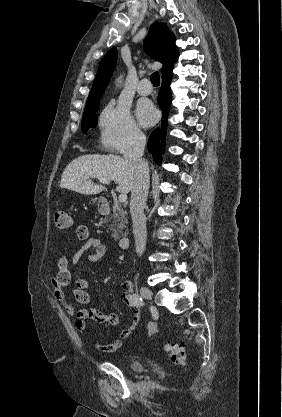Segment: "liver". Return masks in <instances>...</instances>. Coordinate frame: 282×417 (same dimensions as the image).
Listing matches in <instances>:
<instances>
[{"label":"liver","instance_id":"1","mask_svg":"<svg viewBox=\"0 0 282 417\" xmlns=\"http://www.w3.org/2000/svg\"><path fill=\"white\" fill-rule=\"evenodd\" d=\"M91 178L116 180L117 192H130L134 182L132 164L118 154H82L67 164L61 176L60 188L76 190L80 194H97L105 186Z\"/></svg>","mask_w":282,"mask_h":417}]
</instances>
